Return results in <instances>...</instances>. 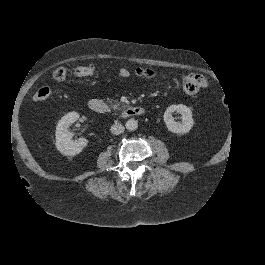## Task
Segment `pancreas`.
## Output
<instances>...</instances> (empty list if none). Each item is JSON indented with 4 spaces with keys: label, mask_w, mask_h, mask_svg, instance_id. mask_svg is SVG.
I'll list each match as a JSON object with an SVG mask.
<instances>
[{
    "label": "pancreas",
    "mask_w": 265,
    "mask_h": 265,
    "mask_svg": "<svg viewBox=\"0 0 265 265\" xmlns=\"http://www.w3.org/2000/svg\"><path fill=\"white\" fill-rule=\"evenodd\" d=\"M108 102L110 103V107L113 109H119L121 108H125L126 105L121 104L120 102H118V100H113V99H108Z\"/></svg>",
    "instance_id": "pancreas-1"
}]
</instances>
